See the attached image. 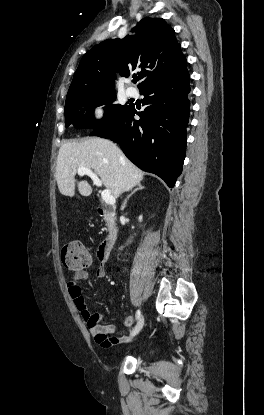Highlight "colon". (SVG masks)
<instances>
[{
  "label": "colon",
  "instance_id": "obj_1",
  "mask_svg": "<svg viewBox=\"0 0 264 415\" xmlns=\"http://www.w3.org/2000/svg\"><path fill=\"white\" fill-rule=\"evenodd\" d=\"M61 263L69 271L86 267L91 263V257L80 242L72 241L64 245L61 251Z\"/></svg>",
  "mask_w": 264,
  "mask_h": 415
}]
</instances>
